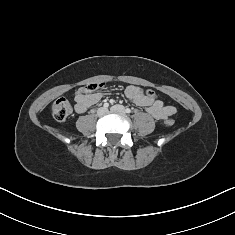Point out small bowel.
Here are the masks:
<instances>
[{"instance_id": "c3829d8e", "label": "small bowel", "mask_w": 235, "mask_h": 235, "mask_svg": "<svg viewBox=\"0 0 235 235\" xmlns=\"http://www.w3.org/2000/svg\"><path fill=\"white\" fill-rule=\"evenodd\" d=\"M126 97L137 106L145 107L147 112L155 119L166 120L176 113L174 106L165 105L162 101L149 98L144 91L135 86H128ZM103 97L100 92L77 93L75 95V111L84 113L90 106L98 103Z\"/></svg>"}]
</instances>
